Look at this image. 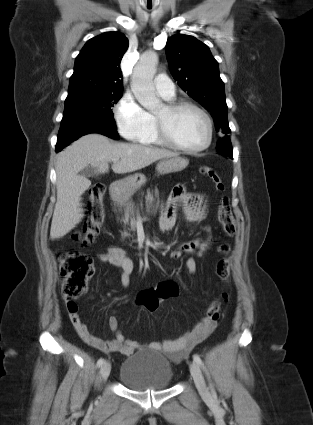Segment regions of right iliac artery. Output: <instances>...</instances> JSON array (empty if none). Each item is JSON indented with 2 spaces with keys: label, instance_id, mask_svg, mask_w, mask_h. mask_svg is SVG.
<instances>
[{
  "label": "right iliac artery",
  "instance_id": "1",
  "mask_svg": "<svg viewBox=\"0 0 313 425\" xmlns=\"http://www.w3.org/2000/svg\"><path fill=\"white\" fill-rule=\"evenodd\" d=\"M104 364V359L103 358H100L98 361H97V366L98 367H100V366H102Z\"/></svg>",
  "mask_w": 313,
  "mask_h": 425
}]
</instances>
